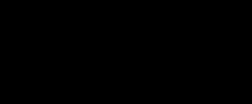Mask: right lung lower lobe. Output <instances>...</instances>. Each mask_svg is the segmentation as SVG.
Here are the masks:
<instances>
[{
  "instance_id": "obj_1",
  "label": "right lung lower lobe",
  "mask_w": 252,
  "mask_h": 104,
  "mask_svg": "<svg viewBox=\"0 0 252 104\" xmlns=\"http://www.w3.org/2000/svg\"><path fill=\"white\" fill-rule=\"evenodd\" d=\"M30 93L36 104H115L123 97L121 84L101 64L76 55L34 64Z\"/></svg>"
}]
</instances>
